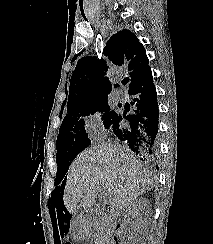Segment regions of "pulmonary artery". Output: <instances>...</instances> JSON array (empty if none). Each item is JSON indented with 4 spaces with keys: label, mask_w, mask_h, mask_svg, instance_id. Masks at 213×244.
Wrapping results in <instances>:
<instances>
[{
    "label": "pulmonary artery",
    "mask_w": 213,
    "mask_h": 244,
    "mask_svg": "<svg viewBox=\"0 0 213 244\" xmlns=\"http://www.w3.org/2000/svg\"><path fill=\"white\" fill-rule=\"evenodd\" d=\"M114 95H115L116 100H118V101H122L124 98L123 92L120 90H115Z\"/></svg>",
    "instance_id": "pulmonary-artery-1"
}]
</instances>
